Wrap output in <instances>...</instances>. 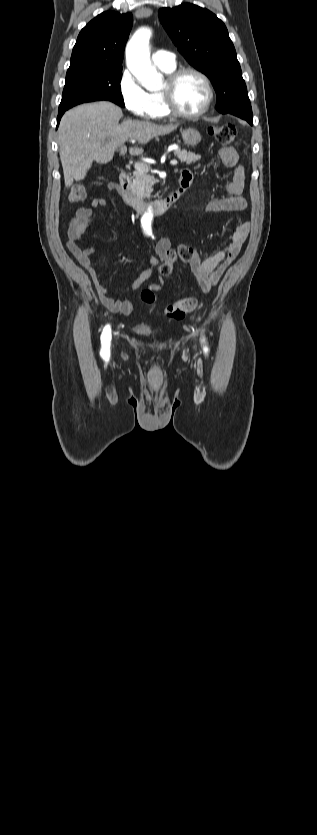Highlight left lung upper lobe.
<instances>
[{
	"instance_id": "left-lung-upper-lobe-1",
	"label": "left lung upper lobe",
	"mask_w": 317,
	"mask_h": 835,
	"mask_svg": "<svg viewBox=\"0 0 317 835\" xmlns=\"http://www.w3.org/2000/svg\"><path fill=\"white\" fill-rule=\"evenodd\" d=\"M159 18L187 61L209 77L220 113L252 117V108L236 51L225 24L193 4L162 8Z\"/></svg>"
}]
</instances>
